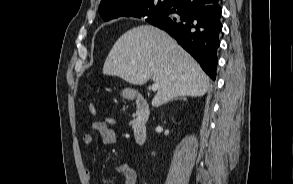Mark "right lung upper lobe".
Masks as SVG:
<instances>
[{"label":"right lung upper lobe","mask_w":293,"mask_h":184,"mask_svg":"<svg viewBox=\"0 0 293 184\" xmlns=\"http://www.w3.org/2000/svg\"><path fill=\"white\" fill-rule=\"evenodd\" d=\"M170 1L171 0H158L155 6L154 0H101L99 13L105 21L121 16L135 17L138 13L149 9H156L164 12Z\"/></svg>","instance_id":"cb5924a9"}]
</instances>
